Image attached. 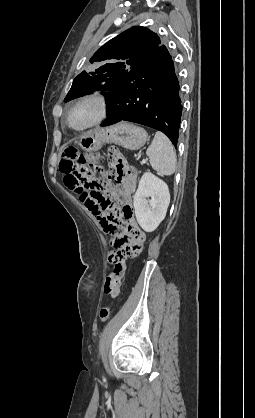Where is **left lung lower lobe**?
<instances>
[{
  "label": "left lung lower lobe",
  "instance_id": "left-lung-lower-lobe-1",
  "mask_svg": "<svg viewBox=\"0 0 255 418\" xmlns=\"http://www.w3.org/2000/svg\"><path fill=\"white\" fill-rule=\"evenodd\" d=\"M107 119L101 126L119 121L142 124L166 134L177 146L182 115L180 86L167 48L130 70L106 95Z\"/></svg>",
  "mask_w": 255,
  "mask_h": 418
}]
</instances>
